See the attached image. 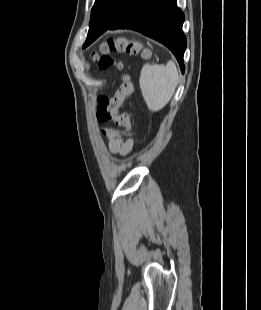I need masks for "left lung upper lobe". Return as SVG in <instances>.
I'll return each mask as SVG.
<instances>
[{"label": "left lung upper lobe", "mask_w": 261, "mask_h": 310, "mask_svg": "<svg viewBox=\"0 0 261 310\" xmlns=\"http://www.w3.org/2000/svg\"><path fill=\"white\" fill-rule=\"evenodd\" d=\"M123 0H95L90 23L109 22L117 13Z\"/></svg>", "instance_id": "obj_1"}]
</instances>
